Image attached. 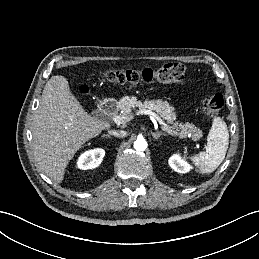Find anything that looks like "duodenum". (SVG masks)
<instances>
[{
	"mask_svg": "<svg viewBox=\"0 0 259 259\" xmlns=\"http://www.w3.org/2000/svg\"><path fill=\"white\" fill-rule=\"evenodd\" d=\"M116 109L117 105L114 100H106L98 104V110L104 116L112 115Z\"/></svg>",
	"mask_w": 259,
	"mask_h": 259,
	"instance_id": "duodenum-1",
	"label": "duodenum"
}]
</instances>
